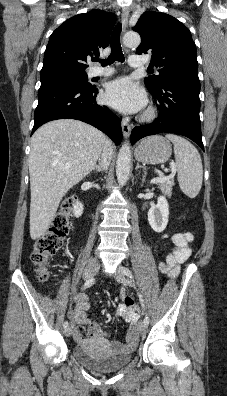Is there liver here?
Returning <instances> with one entry per match:
<instances>
[{
	"label": "liver",
	"instance_id": "1",
	"mask_svg": "<svg viewBox=\"0 0 227 396\" xmlns=\"http://www.w3.org/2000/svg\"><path fill=\"white\" fill-rule=\"evenodd\" d=\"M107 146L113 145L99 130L84 122L59 119L41 126L31 138L30 237L45 234L65 194L88 175Z\"/></svg>",
	"mask_w": 227,
	"mask_h": 396
}]
</instances>
